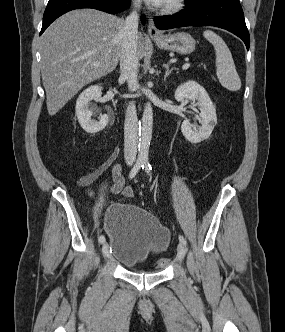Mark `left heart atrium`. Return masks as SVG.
<instances>
[{"label":"left heart atrium","mask_w":285,"mask_h":332,"mask_svg":"<svg viewBox=\"0 0 285 332\" xmlns=\"http://www.w3.org/2000/svg\"><path fill=\"white\" fill-rule=\"evenodd\" d=\"M145 1L153 6L159 7L165 5L168 0H145Z\"/></svg>","instance_id":"39dd6f15"}]
</instances>
